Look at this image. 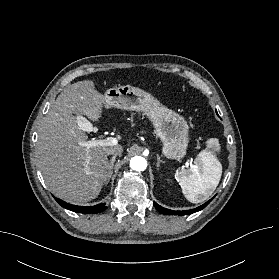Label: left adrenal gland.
Wrapping results in <instances>:
<instances>
[{"label":"left adrenal gland","instance_id":"a2214340","mask_svg":"<svg viewBox=\"0 0 279 279\" xmlns=\"http://www.w3.org/2000/svg\"><path fill=\"white\" fill-rule=\"evenodd\" d=\"M161 163H164V161H162L161 159H160V156L157 154V164H156V167H157V169L159 170V167H160V164Z\"/></svg>","mask_w":279,"mask_h":279}]
</instances>
